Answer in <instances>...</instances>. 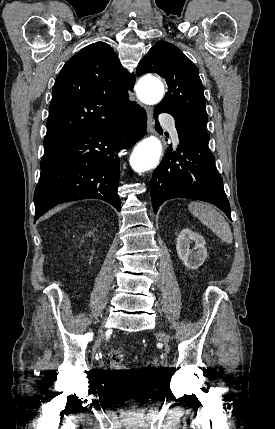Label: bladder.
<instances>
[{"mask_svg":"<svg viewBox=\"0 0 275 429\" xmlns=\"http://www.w3.org/2000/svg\"><path fill=\"white\" fill-rule=\"evenodd\" d=\"M109 398H119L120 403H143L150 398L149 377H114L113 389H109Z\"/></svg>","mask_w":275,"mask_h":429,"instance_id":"1","label":"bladder"}]
</instances>
